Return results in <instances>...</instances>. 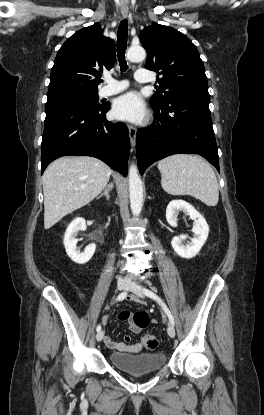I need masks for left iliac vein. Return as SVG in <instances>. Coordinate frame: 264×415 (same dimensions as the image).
I'll use <instances>...</instances> for the list:
<instances>
[{
    "instance_id": "obj_1",
    "label": "left iliac vein",
    "mask_w": 264,
    "mask_h": 415,
    "mask_svg": "<svg viewBox=\"0 0 264 415\" xmlns=\"http://www.w3.org/2000/svg\"><path fill=\"white\" fill-rule=\"evenodd\" d=\"M128 291L133 292L134 294H136L138 297H144V293H143V287L135 282H131L129 284V286L127 287ZM167 333L170 337L174 338L175 337V328L172 324L168 325L167 328Z\"/></svg>"
}]
</instances>
